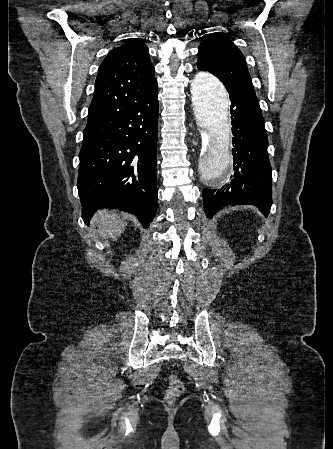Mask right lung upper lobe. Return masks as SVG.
I'll use <instances>...</instances> for the list:
<instances>
[{"label":"right lung upper lobe","mask_w":333,"mask_h":449,"mask_svg":"<svg viewBox=\"0 0 333 449\" xmlns=\"http://www.w3.org/2000/svg\"><path fill=\"white\" fill-rule=\"evenodd\" d=\"M148 47L130 41L109 52L100 65L88 123L107 118L157 90Z\"/></svg>","instance_id":"cb5924a9"}]
</instances>
